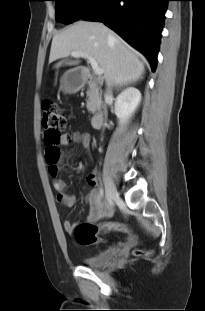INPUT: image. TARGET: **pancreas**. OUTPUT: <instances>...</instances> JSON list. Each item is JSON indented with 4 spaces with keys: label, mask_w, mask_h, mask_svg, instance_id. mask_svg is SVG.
I'll list each match as a JSON object with an SVG mask.
<instances>
[{
    "label": "pancreas",
    "mask_w": 205,
    "mask_h": 311,
    "mask_svg": "<svg viewBox=\"0 0 205 311\" xmlns=\"http://www.w3.org/2000/svg\"><path fill=\"white\" fill-rule=\"evenodd\" d=\"M87 110L90 113H95L101 104V94L96 84L89 82V89L87 90Z\"/></svg>",
    "instance_id": "1"
}]
</instances>
